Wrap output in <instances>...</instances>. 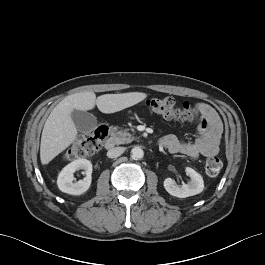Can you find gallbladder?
I'll return each instance as SVG.
<instances>
[{
  "label": "gallbladder",
  "mask_w": 265,
  "mask_h": 265,
  "mask_svg": "<svg viewBox=\"0 0 265 265\" xmlns=\"http://www.w3.org/2000/svg\"><path fill=\"white\" fill-rule=\"evenodd\" d=\"M71 118L75 124L76 129L84 134H90L97 127V118L86 111L73 110Z\"/></svg>",
  "instance_id": "1"
}]
</instances>
